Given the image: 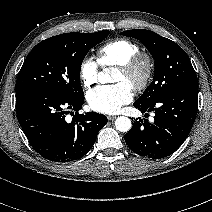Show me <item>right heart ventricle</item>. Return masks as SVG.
I'll list each match as a JSON object with an SVG mask.
<instances>
[{
  "label": "right heart ventricle",
  "mask_w": 212,
  "mask_h": 212,
  "mask_svg": "<svg viewBox=\"0 0 212 212\" xmlns=\"http://www.w3.org/2000/svg\"><path fill=\"white\" fill-rule=\"evenodd\" d=\"M139 52L138 46L127 39H114L97 50V61L101 66L120 65Z\"/></svg>",
  "instance_id": "right-heart-ventricle-1"
}]
</instances>
